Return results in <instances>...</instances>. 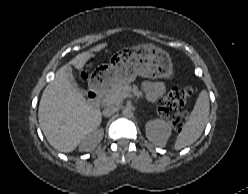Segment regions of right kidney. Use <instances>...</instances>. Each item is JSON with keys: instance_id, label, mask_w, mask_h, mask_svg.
Listing matches in <instances>:
<instances>
[{"instance_id": "1", "label": "right kidney", "mask_w": 248, "mask_h": 194, "mask_svg": "<svg viewBox=\"0 0 248 194\" xmlns=\"http://www.w3.org/2000/svg\"><path fill=\"white\" fill-rule=\"evenodd\" d=\"M104 135L103 129H97L89 133L82 141L79 147L80 151H90L94 149L102 140Z\"/></svg>"}]
</instances>
